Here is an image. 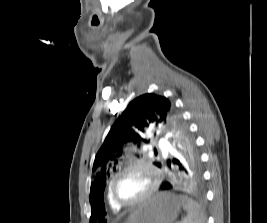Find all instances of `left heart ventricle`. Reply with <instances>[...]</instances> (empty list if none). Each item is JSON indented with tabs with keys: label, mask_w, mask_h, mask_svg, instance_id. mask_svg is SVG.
<instances>
[{
	"label": "left heart ventricle",
	"mask_w": 267,
	"mask_h": 223,
	"mask_svg": "<svg viewBox=\"0 0 267 223\" xmlns=\"http://www.w3.org/2000/svg\"><path fill=\"white\" fill-rule=\"evenodd\" d=\"M151 183L152 177L146 170L132 168L117 178L114 191L118 199L130 202L143 195Z\"/></svg>",
	"instance_id": "obj_1"
}]
</instances>
